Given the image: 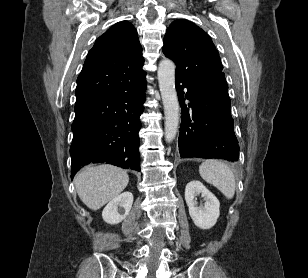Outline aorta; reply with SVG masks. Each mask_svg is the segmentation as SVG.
<instances>
[{"label":"aorta","mask_w":308,"mask_h":278,"mask_svg":"<svg viewBox=\"0 0 308 278\" xmlns=\"http://www.w3.org/2000/svg\"><path fill=\"white\" fill-rule=\"evenodd\" d=\"M159 88L164 105L165 140L171 142L177 133L179 123V102L175 88V65L169 59L159 63Z\"/></svg>","instance_id":"1"}]
</instances>
